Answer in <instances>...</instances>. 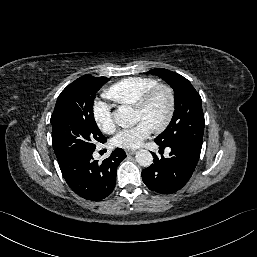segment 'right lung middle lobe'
I'll return each mask as SVG.
<instances>
[{"label": "right lung middle lobe", "mask_w": 257, "mask_h": 257, "mask_svg": "<svg viewBox=\"0 0 257 257\" xmlns=\"http://www.w3.org/2000/svg\"><path fill=\"white\" fill-rule=\"evenodd\" d=\"M108 81L106 77L84 75L59 95L50 120L58 163L73 154L93 152L96 142L107 140L95 122L93 101L96 92Z\"/></svg>", "instance_id": "1"}]
</instances>
